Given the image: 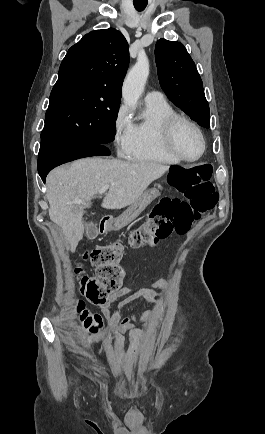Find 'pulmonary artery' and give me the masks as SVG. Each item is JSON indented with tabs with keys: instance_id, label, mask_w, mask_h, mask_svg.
<instances>
[{
	"instance_id": "e3ab8cb5",
	"label": "pulmonary artery",
	"mask_w": 265,
	"mask_h": 434,
	"mask_svg": "<svg viewBox=\"0 0 265 434\" xmlns=\"http://www.w3.org/2000/svg\"><path fill=\"white\" fill-rule=\"evenodd\" d=\"M134 65L131 67L133 68ZM164 97V94L162 91H148L145 95V101L148 103H161L162 99Z\"/></svg>"
}]
</instances>
